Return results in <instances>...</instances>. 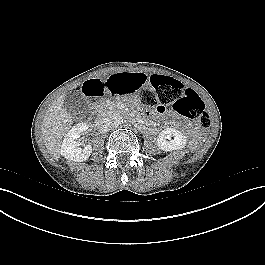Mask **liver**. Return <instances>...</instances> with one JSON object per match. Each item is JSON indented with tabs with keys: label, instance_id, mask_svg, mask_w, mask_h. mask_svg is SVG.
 I'll return each instance as SVG.
<instances>
[{
	"label": "liver",
	"instance_id": "obj_1",
	"mask_svg": "<svg viewBox=\"0 0 265 265\" xmlns=\"http://www.w3.org/2000/svg\"><path fill=\"white\" fill-rule=\"evenodd\" d=\"M64 97L65 95H61L52 103L43 117L42 124L45 146L56 160L60 157L62 139L73 124L72 116L64 108Z\"/></svg>",
	"mask_w": 265,
	"mask_h": 265
}]
</instances>
